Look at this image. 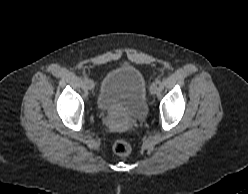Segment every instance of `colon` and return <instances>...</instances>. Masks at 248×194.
<instances>
[{
	"mask_svg": "<svg viewBox=\"0 0 248 194\" xmlns=\"http://www.w3.org/2000/svg\"><path fill=\"white\" fill-rule=\"evenodd\" d=\"M131 144L125 139H117L113 144V151L119 156H127L131 152Z\"/></svg>",
	"mask_w": 248,
	"mask_h": 194,
	"instance_id": "colon-1",
	"label": "colon"
}]
</instances>
